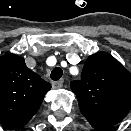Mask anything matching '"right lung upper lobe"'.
Returning <instances> with one entry per match:
<instances>
[{"instance_id":"1","label":"right lung upper lobe","mask_w":131,"mask_h":131,"mask_svg":"<svg viewBox=\"0 0 131 131\" xmlns=\"http://www.w3.org/2000/svg\"><path fill=\"white\" fill-rule=\"evenodd\" d=\"M50 83L31 71L22 57L0 58V124L10 128L26 125L38 111Z\"/></svg>"}]
</instances>
